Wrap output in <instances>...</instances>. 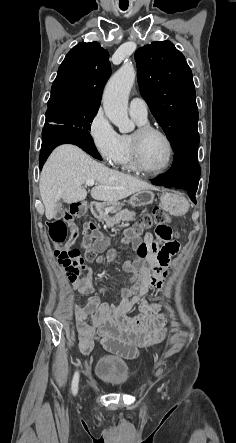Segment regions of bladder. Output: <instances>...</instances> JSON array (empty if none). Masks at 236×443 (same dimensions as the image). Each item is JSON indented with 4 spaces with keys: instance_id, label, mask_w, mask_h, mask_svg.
Listing matches in <instances>:
<instances>
[{
    "instance_id": "31cf9c89",
    "label": "bladder",
    "mask_w": 236,
    "mask_h": 443,
    "mask_svg": "<svg viewBox=\"0 0 236 443\" xmlns=\"http://www.w3.org/2000/svg\"><path fill=\"white\" fill-rule=\"evenodd\" d=\"M96 375L101 381L117 386L127 380L129 373L124 360L110 355H103L97 361Z\"/></svg>"
}]
</instances>
